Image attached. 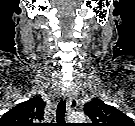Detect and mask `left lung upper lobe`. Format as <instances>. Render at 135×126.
<instances>
[{"mask_svg": "<svg viewBox=\"0 0 135 126\" xmlns=\"http://www.w3.org/2000/svg\"><path fill=\"white\" fill-rule=\"evenodd\" d=\"M84 113L92 121L90 126H135L131 118L98 98L85 104Z\"/></svg>", "mask_w": 135, "mask_h": 126, "instance_id": "obj_1", "label": "left lung upper lobe"}]
</instances>
